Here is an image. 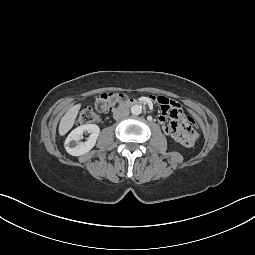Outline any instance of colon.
<instances>
[{
    "label": "colon",
    "mask_w": 255,
    "mask_h": 255,
    "mask_svg": "<svg viewBox=\"0 0 255 255\" xmlns=\"http://www.w3.org/2000/svg\"><path fill=\"white\" fill-rule=\"evenodd\" d=\"M160 97L163 96L156 97V103L159 105L161 104ZM123 99L124 95L118 92H105L100 94L92 106H86L81 110L78 117V123L84 125L97 122L99 119L98 113L107 112L113 105L123 101ZM186 120L194 129L198 128V125L190 116H187Z\"/></svg>",
    "instance_id": "1"
}]
</instances>
